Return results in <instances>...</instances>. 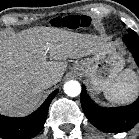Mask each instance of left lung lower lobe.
Wrapping results in <instances>:
<instances>
[{"instance_id": "0a47b994", "label": "left lung lower lobe", "mask_w": 139, "mask_h": 139, "mask_svg": "<svg viewBox=\"0 0 139 139\" xmlns=\"http://www.w3.org/2000/svg\"><path fill=\"white\" fill-rule=\"evenodd\" d=\"M123 37L139 67V38L131 29ZM81 105L89 121L98 129L106 132H125L139 122V98L131 105L115 108H102L96 105L86 94L82 86Z\"/></svg>"}]
</instances>
